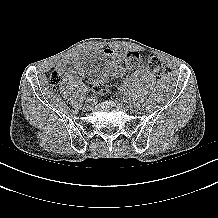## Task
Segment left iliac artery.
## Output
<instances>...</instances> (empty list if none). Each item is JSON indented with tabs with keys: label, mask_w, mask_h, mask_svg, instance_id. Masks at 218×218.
I'll return each instance as SVG.
<instances>
[{
	"label": "left iliac artery",
	"mask_w": 218,
	"mask_h": 218,
	"mask_svg": "<svg viewBox=\"0 0 218 218\" xmlns=\"http://www.w3.org/2000/svg\"><path fill=\"white\" fill-rule=\"evenodd\" d=\"M123 94L125 95V97H128L129 99H131V97H132V96L130 95V92H126V91H125Z\"/></svg>",
	"instance_id": "44dca946"
}]
</instances>
